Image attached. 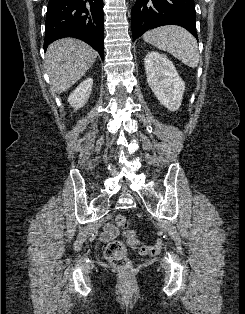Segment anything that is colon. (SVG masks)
<instances>
[{
	"mask_svg": "<svg viewBox=\"0 0 245 314\" xmlns=\"http://www.w3.org/2000/svg\"><path fill=\"white\" fill-rule=\"evenodd\" d=\"M116 224L123 230V236L130 247L139 250V252L144 255L155 256L159 253V244L143 245L139 241L125 215H118L116 217ZM105 256L107 260L118 269L127 270L131 267V262L127 256V247L119 240L112 241L107 245Z\"/></svg>",
	"mask_w": 245,
	"mask_h": 314,
	"instance_id": "1",
	"label": "colon"
}]
</instances>
